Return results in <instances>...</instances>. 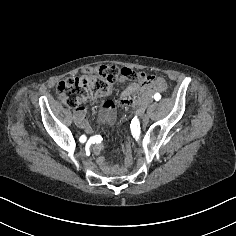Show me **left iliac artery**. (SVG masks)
I'll return each mask as SVG.
<instances>
[{"instance_id": "44dca946", "label": "left iliac artery", "mask_w": 236, "mask_h": 236, "mask_svg": "<svg viewBox=\"0 0 236 236\" xmlns=\"http://www.w3.org/2000/svg\"><path fill=\"white\" fill-rule=\"evenodd\" d=\"M154 99H155L156 101H159V100L161 99V95H160L159 93H156V94L154 95Z\"/></svg>"}]
</instances>
